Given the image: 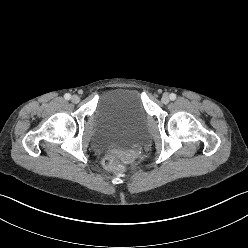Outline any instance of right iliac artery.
<instances>
[{
	"mask_svg": "<svg viewBox=\"0 0 248 248\" xmlns=\"http://www.w3.org/2000/svg\"><path fill=\"white\" fill-rule=\"evenodd\" d=\"M64 98H65L66 100H69V99L71 98V95H70L69 93H66V94L64 95Z\"/></svg>",
	"mask_w": 248,
	"mask_h": 248,
	"instance_id": "obj_1",
	"label": "right iliac artery"
}]
</instances>
